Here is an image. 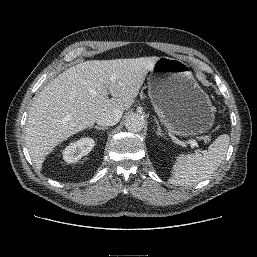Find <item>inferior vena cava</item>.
I'll list each match as a JSON object with an SVG mask.
<instances>
[{
	"mask_svg": "<svg viewBox=\"0 0 257 257\" xmlns=\"http://www.w3.org/2000/svg\"><path fill=\"white\" fill-rule=\"evenodd\" d=\"M122 116V111L117 108L109 109L97 116L96 122L101 126H113L117 124Z\"/></svg>",
	"mask_w": 257,
	"mask_h": 257,
	"instance_id": "obj_1",
	"label": "inferior vena cava"
}]
</instances>
